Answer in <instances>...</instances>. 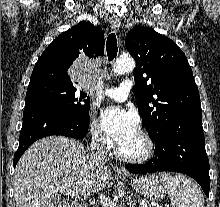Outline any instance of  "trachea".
Returning <instances> with one entry per match:
<instances>
[{
  "instance_id": "trachea-1",
  "label": "trachea",
  "mask_w": 220,
  "mask_h": 207,
  "mask_svg": "<svg viewBox=\"0 0 220 207\" xmlns=\"http://www.w3.org/2000/svg\"><path fill=\"white\" fill-rule=\"evenodd\" d=\"M106 51L108 60L112 61L116 57L118 52L117 38L115 33H111L110 35H108L106 42Z\"/></svg>"
}]
</instances>
